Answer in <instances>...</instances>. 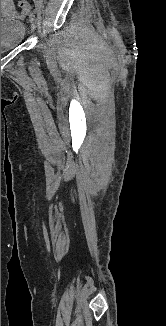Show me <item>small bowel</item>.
<instances>
[{"mask_svg": "<svg viewBox=\"0 0 166 326\" xmlns=\"http://www.w3.org/2000/svg\"><path fill=\"white\" fill-rule=\"evenodd\" d=\"M1 2H2L3 4H6V3L10 2V1H9V0H1Z\"/></svg>", "mask_w": 166, "mask_h": 326, "instance_id": "small-bowel-1", "label": "small bowel"}]
</instances>
